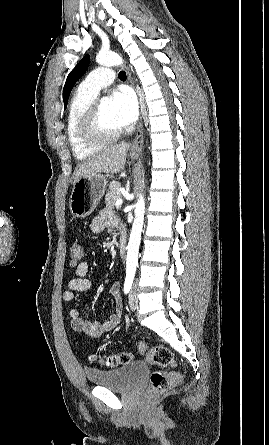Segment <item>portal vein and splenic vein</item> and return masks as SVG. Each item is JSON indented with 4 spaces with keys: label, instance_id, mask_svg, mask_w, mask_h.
<instances>
[{
    "label": "portal vein and splenic vein",
    "instance_id": "obj_1",
    "mask_svg": "<svg viewBox=\"0 0 269 445\" xmlns=\"http://www.w3.org/2000/svg\"><path fill=\"white\" fill-rule=\"evenodd\" d=\"M122 199L121 198H118L117 200H116V206L117 207H119V206H121L122 205Z\"/></svg>",
    "mask_w": 269,
    "mask_h": 445
}]
</instances>
